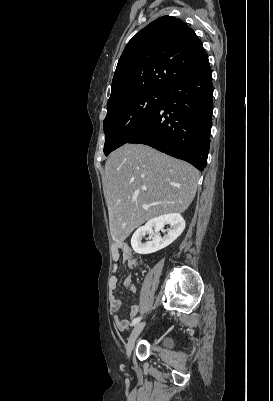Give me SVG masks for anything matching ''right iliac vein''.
Instances as JSON below:
<instances>
[{
	"instance_id": "1",
	"label": "right iliac vein",
	"mask_w": 273,
	"mask_h": 401,
	"mask_svg": "<svg viewBox=\"0 0 273 401\" xmlns=\"http://www.w3.org/2000/svg\"><path fill=\"white\" fill-rule=\"evenodd\" d=\"M145 326V323H138L132 330L130 337L128 339V342L126 344V355L128 356V358H130L134 345H135V341L137 339V337L139 336V334L141 333V331L143 330Z\"/></svg>"
}]
</instances>
